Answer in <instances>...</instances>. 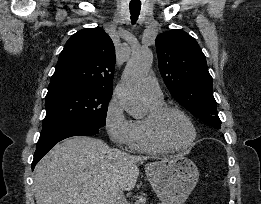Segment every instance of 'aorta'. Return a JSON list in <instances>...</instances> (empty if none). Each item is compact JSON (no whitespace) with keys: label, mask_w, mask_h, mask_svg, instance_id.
Listing matches in <instances>:
<instances>
[{"label":"aorta","mask_w":261,"mask_h":204,"mask_svg":"<svg viewBox=\"0 0 261 204\" xmlns=\"http://www.w3.org/2000/svg\"><path fill=\"white\" fill-rule=\"evenodd\" d=\"M152 61L153 53L150 49L140 48L133 51L117 88L118 98L125 111L134 118H141L145 114L139 83L149 72Z\"/></svg>","instance_id":"aorta-1"}]
</instances>
